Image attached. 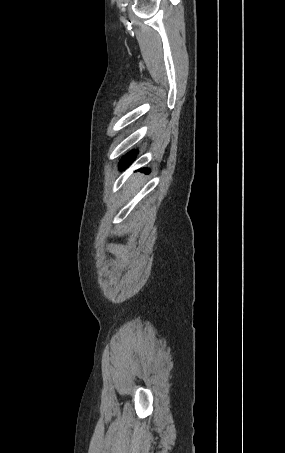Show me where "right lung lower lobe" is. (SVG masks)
<instances>
[{
  "mask_svg": "<svg viewBox=\"0 0 285 453\" xmlns=\"http://www.w3.org/2000/svg\"><path fill=\"white\" fill-rule=\"evenodd\" d=\"M135 153H136L135 151H132L122 159L120 163V169H124L130 165V163L134 160L136 156ZM149 171H150L149 169H141V172L149 173Z\"/></svg>",
  "mask_w": 285,
  "mask_h": 453,
  "instance_id": "obj_1",
  "label": "right lung lower lobe"
}]
</instances>
